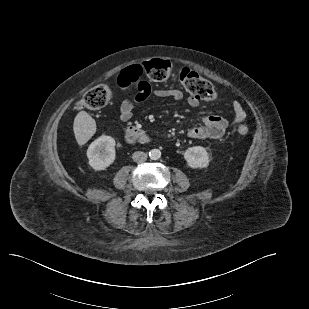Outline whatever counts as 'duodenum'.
Returning <instances> with one entry per match:
<instances>
[{
  "mask_svg": "<svg viewBox=\"0 0 309 309\" xmlns=\"http://www.w3.org/2000/svg\"><path fill=\"white\" fill-rule=\"evenodd\" d=\"M128 132L133 135L136 140L140 141V142H148L149 141V138L147 136V134L141 130V129H138V128H130L128 130Z\"/></svg>",
  "mask_w": 309,
  "mask_h": 309,
  "instance_id": "1",
  "label": "duodenum"
}]
</instances>
